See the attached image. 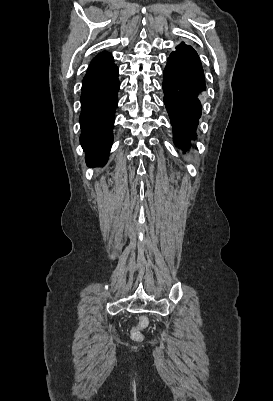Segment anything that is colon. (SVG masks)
Returning <instances> with one entry per match:
<instances>
[{
	"label": "colon",
	"mask_w": 273,
	"mask_h": 401,
	"mask_svg": "<svg viewBox=\"0 0 273 401\" xmlns=\"http://www.w3.org/2000/svg\"><path fill=\"white\" fill-rule=\"evenodd\" d=\"M150 322L148 319H141L135 329L130 330L129 335L132 342H143L146 339L145 334L140 333L142 328H148Z\"/></svg>",
	"instance_id": "colon-1"
}]
</instances>
